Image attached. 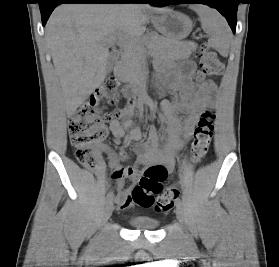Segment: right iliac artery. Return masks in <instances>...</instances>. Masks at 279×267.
Returning a JSON list of instances; mask_svg holds the SVG:
<instances>
[{
    "label": "right iliac artery",
    "mask_w": 279,
    "mask_h": 267,
    "mask_svg": "<svg viewBox=\"0 0 279 267\" xmlns=\"http://www.w3.org/2000/svg\"><path fill=\"white\" fill-rule=\"evenodd\" d=\"M107 202H112L113 200V192H109L106 197Z\"/></svg>",
    "instance_id": "obj_1"
}]
</instances>
